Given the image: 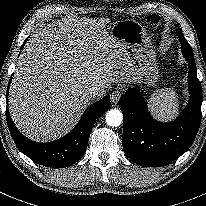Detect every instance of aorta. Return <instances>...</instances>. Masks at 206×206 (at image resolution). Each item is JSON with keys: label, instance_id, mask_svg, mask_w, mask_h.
<instances>
[{"label": "aorta", "instance_id": "aorta-1", "mask_svg": "<svg viewBox=\"0 0 206 206\" xmlns=\"http://www.w3.org/2000/svg\"><path fill=\"white\" fill-rule=\"evenodd\" d=\"M105 120L108 126L118 127L123 121L122 112L118 109H111L106 113Z\"/></svg>", "mask_w": 206, "mask_h": 206}]
</instances>
